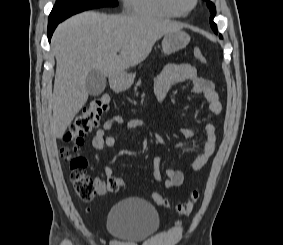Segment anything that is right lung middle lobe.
Instances as JSON below:
<instances>
[{"instance_id":"obj_1","label":"right lung middle lobe","mask_w":283,"mask_h":245,"mask_svg":"<svg viewBox=\"0 0 283 245\" xmlns=\"http://www.w3.org/2000/svg\"><path fill=\"white\" fill-rule=\"evenodd\" d=\"M117 0H56L48 23L61 22L76 13L99 7L117 6Z\"/></svg>"}]
</instances>
